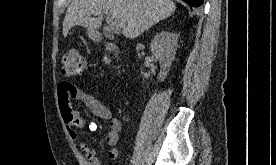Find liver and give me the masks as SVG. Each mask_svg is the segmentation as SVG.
<instances>
[{"label": "liver", "instance_id": "1", "mask_svg": "<svg viewBox=\"0 0 276 165\" xmlns=\"http://www.w3.org/2000/svg\"><path fill=\"white\" fill-rule=\"evenodd\" d=\"M176 6L172 0H72L63 21V35L69 30L83 26L96 30L102 24L103 13L122 22L123 35L137 38L154 24L170 17ZM96 14L97 18L91 15Z\"/></svg>", "mask_w": 276, "mask_h": 165}]
</instances>
